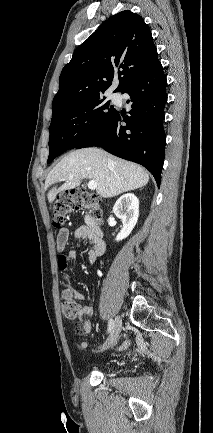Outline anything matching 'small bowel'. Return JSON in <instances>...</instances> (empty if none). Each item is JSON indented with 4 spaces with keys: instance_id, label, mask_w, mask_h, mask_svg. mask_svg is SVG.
Segmentation results:
<instances>
[{
    "instance_id": "small-bowel-1",
    "label": "small bowel",
    "mask_w": 213,
    "mask_h": 433,
    "mask_svg": "<svg viewBox=\"0 0 213 433\" xmlns=\"http://www.w3.org/2000/svg\"><path fill=\"white\" fill-rule=\"evenodd\" d=\"M74 237L76 240L83 242V243H89L91 245V248L88 250V261L90 263H94L96 258L101 256L104 253L105 250V244L103 240H98L96 236L93 234L92 230L87 226H79L74 231ZM69 239V230L67 228L61 229L56 237V248L58 252H63L65 249V246ZM67 263L68 262H76L77 261V252L75 250L69 251L66 255H64ZM63 282L62 287L64 289L70 288L69 284L67 283V269L66 267L61 268L59 266ZM76 297L78 299H82V295L78 292H76ZM91 310L89 308H83L80 311L79 319L81 320V325L78 328V332L80 334H88L92 330V323L89 319ZM129 345V341L126 340L119 349H125ZM79 347L82 350H86L88 348V343L84 340L80 341Z\"/></svg>"
}]
</instances>
